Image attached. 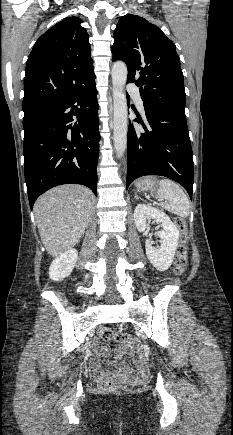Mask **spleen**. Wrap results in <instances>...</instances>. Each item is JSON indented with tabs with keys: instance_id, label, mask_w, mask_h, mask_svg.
Segmentation results:
<instances>
[{
	"instance_id": "obj_1",
	"label": "spleen",
	"mask_w": 233,
	"mask_h": 435,
	"mask_svg": "<svg viewBox=\"0 0 233 435\" xmlns=\"http://www.w3.org/2000/svg\"><path fill=\"white\" fill-rule=\"evenodd\" d=\"M159 185L156 198L161 201L164 200L161 203L162 207L180 217H187L190 212V205L188 197L182 188L168 179L160 180Z\"/></svg>"
}]
</instances>
